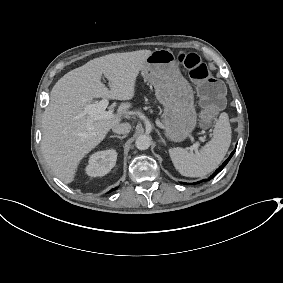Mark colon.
Listing matches in <instances>:
<instances>
[{"label":"colon","instance_id":"colon-1","mask_svg":"<svg viewBox=\"0 0 283 283\" xmlns=\"http://www.w3.org/2000/svg\"><path fill=\"white\" fill-rule=\"evenodd\" d=\"M179 62L195 82L201 100L200 118L204 125L210 124L224 105V87L208 66L195 53H181Z\"/></svg>","mask_w":283,"mask_h":283}]
</instances>
